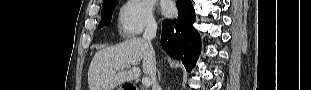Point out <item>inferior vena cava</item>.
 Here are the masks:
<instances>
[{"label": "inferior vena cava", "instance_id": "1", "mask_svg": "<svg viewBox=\"0 0 311 90\" xmlns=\"http://www.w3.org/2000/svg\"><path fill=\"white\" fill-rule=\"evenodd\" d=\"M156 32H157V24L156 23H151L148 24L145 28L144 34H143V39L146 41H143V48L146 50V61L147 64L149 65V68L152 70L151 72V78L153 81V87L155 89L160 90L159 85L156 81V71L158 68L157 65V60H156V49L153 48L152 40L156 37Z\"/></svg>", "mask_w": 311, "mask_h": 90}]
</instances>
